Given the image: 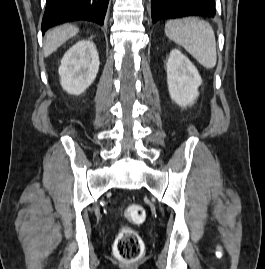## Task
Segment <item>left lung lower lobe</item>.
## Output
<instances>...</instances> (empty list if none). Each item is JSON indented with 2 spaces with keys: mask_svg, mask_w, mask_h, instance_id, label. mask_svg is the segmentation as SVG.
<instances>
[{
  "mask_svg": "<svg viewBox=\"0 0 265 269\" xmlns=\"http://www.w3.org/2000/svg\"><path fill=\"white\" fill-rule=\"evenodd\" d=\"M152 22L185 16L214 17L215 0H152Z\"/></svg>",
  "mask_w": 265,
  "mask_h": 269,
  "instance_id": "1",
  "label": "left lung lower lobe"
}]
</instances>
